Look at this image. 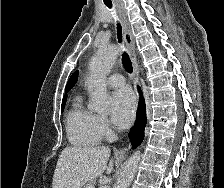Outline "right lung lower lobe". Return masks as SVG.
Instances as JSON below:
<instances>
[{
  "instance_id": "right-lung-lower-lobe-1",
  "label": "right lung lower lobe",
  "mask_w": 224,
  "mask_h": 188,
  "mask_svg": "<svg viewBox=\"0 0 224 188\" xmlns=\"http://www.w3.org/2000/svg\"><path fill=\"white\" fill-rule=\"evenodd\" d=\"M146 121L147 119H146L145 101L142 95L140 94L136 122L130 133V140L134 148L139 146L144 138V128L146 125Z\"/></svg>"
}]
</instances>
